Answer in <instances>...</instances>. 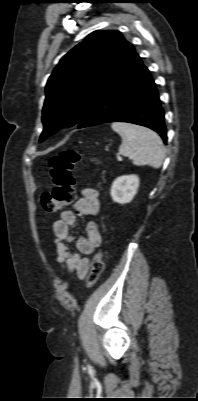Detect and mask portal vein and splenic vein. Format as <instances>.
I'll return each mask as SVG.
<instances>
[{"instance_id": "portal-vein-and-splenic-vein-1", "label": "portal vein and splenic vein", "mask_w": 198, "mask_h": 401, "mask_svg": "<svg viewBox=\"0 0 198 401\" xmlns=\"http://www.w3.org/2000/svg\"><path fill=\"white\" fill-rule=\"evenodd\" d=\"M117 159H118V160H122V158H121L120 156H117Z\"/></svg>"}]
</instances>
